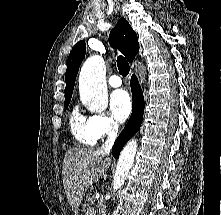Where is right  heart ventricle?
<instances>
[{"label": "right heart ventricle", "mask_w": 221, "mask_h": 215, "mask_svg": "<svg viewBox=\"0 0 221 215\" xmlns=\"http://www.w3.org/2000/svg\"><path fill=\"white\" fill-rule=\"evenodd\" d=\"M70 128L75 139L84 145H94L97 138L91 132L89 119L83 116L75 107L70 116Z\"/></svg>", "instance_id": "e07e8e85"}]
</instances>
